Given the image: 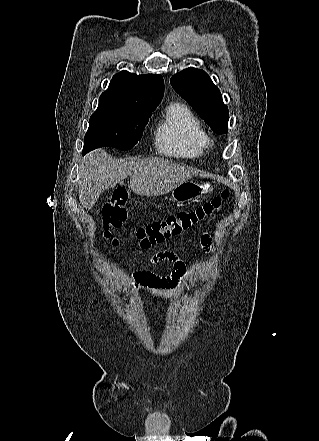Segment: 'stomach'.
<instances>
[{
	"label": "stomach",
	"mask_w": 319,
	"mask_h": 441,
	"mask_svg": "<svg viewBox=\"0 0 319 441\" xmlns=\"http://www.w3.org/2000/svg\"><path fill=\"white\" fill-rule=\"evenodd\" d=\"M212 191L213 186L209 182L196 183L186 180L172 189L171 200L178 204H186L203 198Z\"/></svg>",
	"instance_id": "stomach-1"
}]
</instances>
